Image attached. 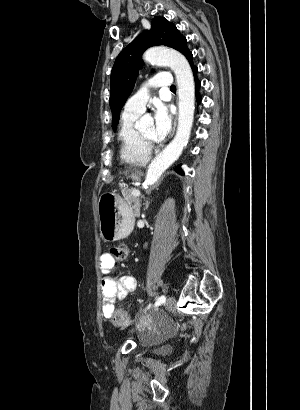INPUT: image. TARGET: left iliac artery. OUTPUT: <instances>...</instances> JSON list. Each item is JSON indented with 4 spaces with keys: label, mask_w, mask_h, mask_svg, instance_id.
I'll use <instances>...</instances> for the list:
<instances>
[{
    "label": "left iliac artery",
    "mask_w": 300,
    "mask_h": 410,
    "mask_svg": "<svg viewBox=\"0 0 300 410\" xmlns=\"http://www.w3.org/2000/svg\"><path fill=\"white\" fill-rule=\"evenodd\" d=\"M165 299H166L165 296L159 297L157 301L155 302L154 307L161 305L165 301Z\"/></svg>",
    "instance_id": "44dca946"
}]
</instances>
